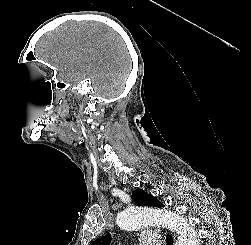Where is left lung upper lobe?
I'll use <instances>...</instances> for the list:
<instances>
[{"label":"left lung upper lobe","instance_id":"left-lung-upper-lobe-1","mask_svg":"<svg viewBox=\"0 0 251 245\" xmlns=\"http://www.w3.org/2000/svg\"><path fill=\"white\" fill-rule=\"evenodd\" d=\"M132 199L140 206L163 207V204L154 196L147 194L142 189H137L132 192ZM111 236L107 234L94 240L90 245H110Z\"/></svg>","mask_w":251,"mask_h":245}]
</instances>
